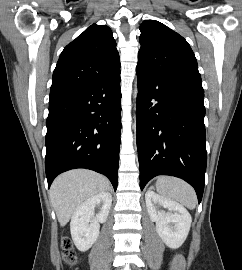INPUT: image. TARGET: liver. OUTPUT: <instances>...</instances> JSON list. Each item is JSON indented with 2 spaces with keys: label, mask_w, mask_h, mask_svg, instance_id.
Instances as JSON below:
<instances>
[{
  "label": "liver",
  "mask_w": 242,
  "mask_h": 270,
  "mask_svg": "<svg viewBox=\"0 0 242 270\" xmlns=\"http://www.w3.org/2000/svg\"><path fill=\"white\" fill-rule=\"evenodd\" d=\"M109 185L106 177L90 170L77 169L59 175L51 186L50 200L60 225L65 226L81 203L106 192Z\"/></svg>",
  "instance_id": "6515ba94"
}]
</instances>
